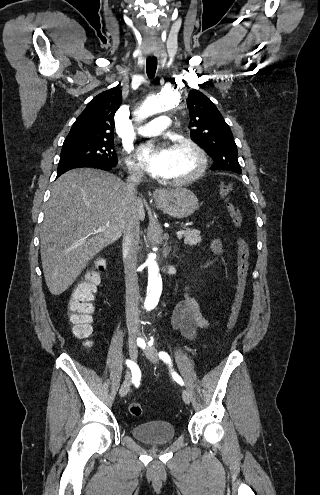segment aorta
Instances as JSON below:
<instances>
[{"label": "aorta", "mask_w": 320, "mask_h": 495, "mask_svg": "<svg viewBox=\"0 0 320 495\" xmlns=\"http://www.w3.org/2000/svg\"><path fill=\"white\" fill-rule=\"evenodd\" d=\"M180 103L179 94L172 89H164L158 96L148 97L144 103L135 111L137 120L143 121L157 113L176 108ZM151 248L143 256V264L148 268V286L145 308L149 311L154 309L160 299L162 292V277L157 266L158 256L152 247L160 246L162 243L161 227L156 225L151 231Z\"/></svg>", "instance_id": "1"}]
</instances>
